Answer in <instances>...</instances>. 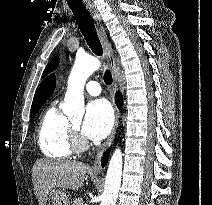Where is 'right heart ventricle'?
<instances>
[{
	"label": "right heart ventricle",
	"mask_w": 212,
	"mask_h": 205,
	"mask_svg": "<svg viewBox=\"0 0 212 205\" xmlns=\"http://www.w3.org/2000/svg\"><path fill=\"white\" fill-rule=\"evenodd\" d=\"M71 124L57 108L49 106L43 113L38 126L37 139L42 153L52 159H66L73 154Z\"/></svg>",
	"instance_id": "right-heart-ventricle-1"
}]
</instances>
